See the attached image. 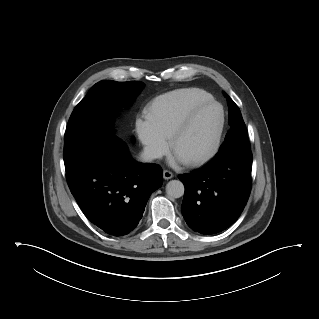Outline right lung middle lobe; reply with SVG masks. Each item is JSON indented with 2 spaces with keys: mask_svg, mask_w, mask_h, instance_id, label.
<instances>
[{
  "mask_svg": "<svg viewBox=\"0 0 319 319\" xmlns=\"http://www.w3.org/2000/svg\"><path fill=\"white\" fill-rule=\"evenodd\" d=\"M143 87L139 81L103 80L89 90L73 110L66 128L65 169L71 168L93 141L114 136L113 114L119 107L130 103Z\"/></svg>",
  "mask_w": 319,
  "mask_h": 319,
  "instance_id": "obj_1",
  "label": "right lung middle lobe"
}]
</instances>
